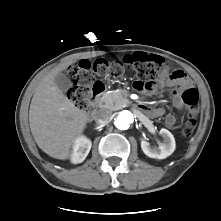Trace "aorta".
I'll return each instance as SVG.
<instances>
[{
  "label": "aorta",
  "mask_w": 221,
  "mask_h": 221,
  "mask_svg": "<svg viewBox=\"0 0 221 221\" xmlns=\"http://www.w3.org/2000/svg\"><path fill=\"white\" fill-rule=\"evenodd\" d=\"M135 115L130 110L122 111L115 119V126L120 130H126L134 122Z\"/></svg>",
  "instance_id": "aorta-1"
}]
</instances>
